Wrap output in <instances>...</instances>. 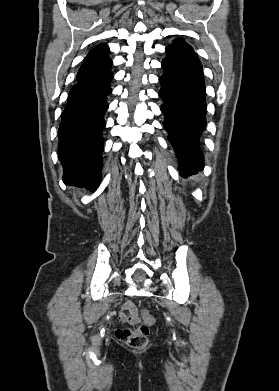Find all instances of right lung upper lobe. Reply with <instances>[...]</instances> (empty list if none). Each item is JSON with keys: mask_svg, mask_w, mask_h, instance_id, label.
<instances>
[{"mask_svg": "<svg viewBox=\"0 0 279 391\" xmlns=\"http://www.w3.org/2000/svg\"><path fill=\"white\" fill-rule=\"evenodd\" d=\"M108 53L109 47L106 44H100L90 50L78 71L77 82L109 72L112 61L110 60Z\"/></svg>", "mask_w": 279, "mask_h": 391, "instance_id": "right-lung-upper-lobe-1", "label": "right lung upper lobe"}]
</instances>
